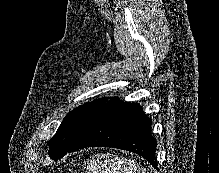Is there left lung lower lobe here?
Segmentation results:
<instances>
[{
  "label": "left lung lower lobe",
  "mask_w": 219,
  "mask_h": 173,
  "mask_svg": "<svg viewBox=\"0 0 219 173\" xmlns=\"http://www.w3.org/2000/svg\"><path fill=\"white\" fill-rule=\"evenodd\" d=\"M151 124L141 106L114 97L97 111L75 142L58 159L67 152L103 146L134 152L157 168V142L149 133Z\"/></svg>",
  "instance_id": "0a47b994"
}]
</instances>
